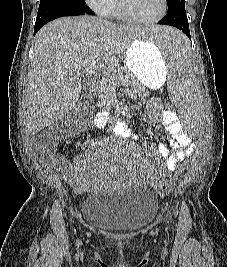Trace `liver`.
<instances>
[{
	"mask_svg": "<svg viewBox=\"0 0 227 267\" xmlns=\"http://www.w3.org/2000/svg\"><path fill=\"white\" fill-rule=\"evenodd\" d=\"M145 31L87 15L63 17L42 27L35 37L26 92L28 131L36 134L66 116L83 88L78 73L93 61L102 70L117 69L120 54Z\"/></svg>",
	"mask_w": 227,
	"mask_h": 267,
	"instance_id": "liver-1",
	"label": "liver"
}]
</instances>
